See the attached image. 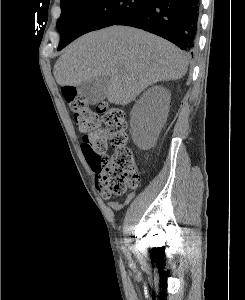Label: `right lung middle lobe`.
<instances>
[{
	"instance_id": "1",
	"label": "right lung middle lobe",
	"mask_w": 245,
	"mask_h": 300,
	"mask_svg": "<svg viewBox=\"0 0 245 300\" xmlns=\"http://www.w3.org/2000/svg\"><path fill=\"white\" fill-rule=\"evenodd\" d=\"M150 0H61L57 21L63 49L79 36L116 24Z\"/></svg>"
}]
</instances>
